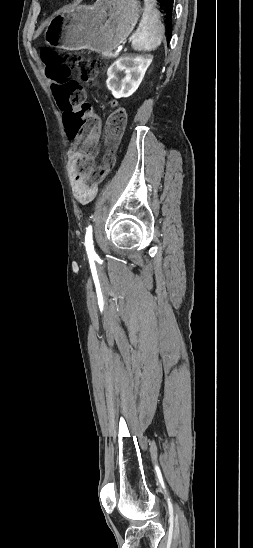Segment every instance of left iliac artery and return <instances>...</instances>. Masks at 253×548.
I'll list each match as a JSON object with an SVG mask.
<instances>
[{
  "label": "left iliac artery",
  "mask_w": 253,
  "mask_h": 548,
  "mask_svg": "<svg viewBox=\"0 0 253 548\" xmlns=\"http://www.w3.org/2000/svg\"><path fill=\"white\" fill-rule=\"evenodd\" d=\"M85 246L89 258L95 259L97 254L94 251L93 239H92V226L90 225L86 230Z\"/></svg>",
  "instance_id": "left-iliac-artery-1"
}]
</instances>
